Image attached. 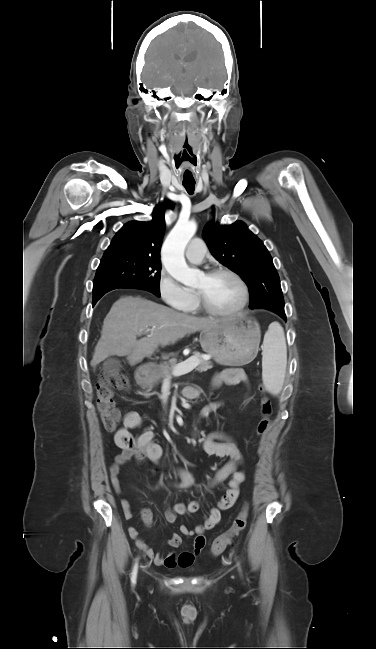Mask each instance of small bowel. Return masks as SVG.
Returning <instances> with one entry per match:
<instances>
[{"mask_svg":"<svg viewBox=\"0 0 376 649\" xmlns=\"http://www.w3.org/2000/svg\"><path fill=\"white\" fill-rule=\"evenodd\" d=\"M238 383H248L247 376L240 368H229L223 370L216 374L213 379L214 386H219L221 384L234 385ZM198 395L199 390L196 387H187L184 390V396L189 399L196 398ZM219 405L220 404L216 402L208 404L202 409L201 416L207 417L212 412L216 411ZM141 424V415L136 411H129L124 416L123 426L118 429L114 435V443L120 449V453L115 457L109 467V477L111 485L117 494L121 493L120 472L125 462L130 459H136L138 461L149 460L154 464H159L161 462L162 448L155 442V434L153 431L146 430L137 438L133 437L131 430L140 427ZM202 446L204 451L209 455L227 457L229 459L228 462L216 472L211 483L212 485L224 482L231 475L233 476L229 481L227 492L218 502L219 508H212L204 517L203 522L194 529H189L184 525L180 526L179 530L181 534H173L167 541V544L170 547L178 548L182 544L181 535L193 536V549L181 553H156L152 548L147 546L136 528L129 527L128 529L129 535L135 541L137 547L142 550L157 566H165L168 568L176 566L186 568L191 566L205 546L204 533L219 523L221 519L220 509L225 510L230 508L239 495V487L243 483L245 475L242 471L237 472V468L242 462V452L237 443L223 433L213 432L203 440ZM177 475L179 477L178 483L175 484L177 488L187 489L194 485V478L187 470L181 468L177 469ZM121 507L125 519H132L133 513L127 499H122ZM198 509L199 504L196 501H192L188 504L177 503L166 510L165 518L168 523L175 524L178 515L193 513ZM141 516L147 526L152 524V513L149 509H142Z\"/></svg>","mask_w":376,"mask_h":649,"instance_id":"c3829d8e","label":"small bowel"}]
</instances>
